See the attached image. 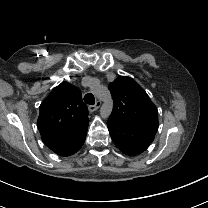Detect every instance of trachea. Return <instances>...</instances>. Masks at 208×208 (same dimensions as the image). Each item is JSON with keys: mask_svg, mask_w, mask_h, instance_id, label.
<instances>
[{"mask_svg": "<svg viewBox=\"0 0 208 208\" xmlns=\"http://www.w3.org/2000/svg\"><path fill=\"white\" fill-rule=\"evenodd\" d=\"M84 101H85V103H87L89 105H94L95 104V97L93 96V94L88 93L84 96Z\"/></svg>", "mask_w": 208, "mask_h": 208, "instance_id": "1", "label": "trachea"}]
</instances>
